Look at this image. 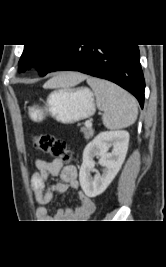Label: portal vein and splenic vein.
<instances>
[{
	"label": "portal vein and splenic vein",
	"instance_id": "obj_1",
	"mask_svg": "<svg viewBox=\"0 0 166 267\" xmlns=\"http://www.w3.org/2000/svg\"><path fill=\"white\" fill-rule=\"evenodd\" d=\"M85 125H86V127L91 128L92 122L90 120H88V121H86Z\"/></svg>",
	"mask_w": 166,
	"mask_h": 267
}]
</instances>
